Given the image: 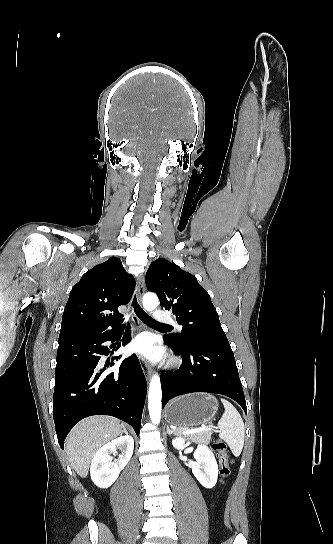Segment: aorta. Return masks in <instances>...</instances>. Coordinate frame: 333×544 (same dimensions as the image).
I'll return each mask as SVG.
<instances>
[{"label": "aorta", "instance_id": "obj_1", "mask_svg": "<svg viewBox=\"0 0 333 544\" xmlns=\"http://www.w3.org/2000/svg\"><path fill=\"white\" fill-rule=\"evenodd\" d=\"M159 299L154 293H146L143 296V306L147 311L157 308ZM161 382L157 374L151 378L148 391V410L152 423L159 424L161 419Z\"/></svg>", "mask_w": 333, "mask_h": 544}]
</instances>
